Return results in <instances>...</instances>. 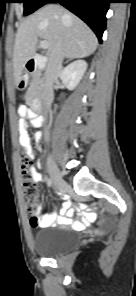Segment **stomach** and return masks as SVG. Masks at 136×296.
<instances>
[{
  "mask_svg": "<svg viewBox=\"0 0 136 296\" xmlns=\"http://www.w3.org/2000/svg\"><path fill=\"white\" fill-rule=\"evenodd\" d=\"M16 89L17 90H24L25 89V86L24 85H17L16 86Z\"/></svg>",
  "mask_w": 136,
  "mask_h": 296,
  "instance_id": "obj_1",
  "label": "stomach"
}]
</instances>
